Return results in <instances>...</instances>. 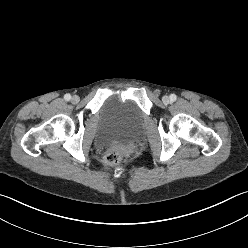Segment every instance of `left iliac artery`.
Listing matches in <instances>:
<instances>
[{"instance_id": "1", "label": "left iliac artery", "mask_w": 248, "mask_h": 248, "mask_svg": "<svg viewBox=\"0 0 248 248\" xmlns=\"http://www.w3.org/2000/svg\"><path fill=\"white\" fill-rule=\"evenodd\" d=\"M176 99H177V96H176L175 94H171V95H170V100H171L172 102L176 101Z\"/></svg>"}]
</instances>
